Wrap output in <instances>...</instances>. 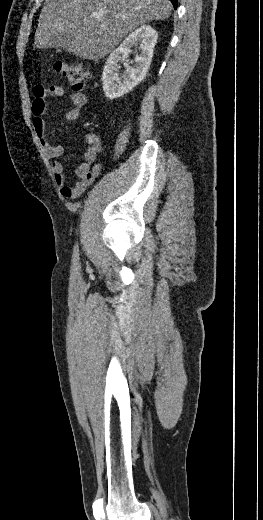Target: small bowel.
Listing matches in <instances>:
<instances>
[{"label": "small bowel", "mask_w": 263, "mask_h": 520, "mask_svg": "<svg viewBox=\"0 0 263 520\" xmlns=\"http://www.w3.org/2000/svg\"><path fill=\"white\" fill-rule=\"evenodd\" d=\"M64 95L65 90L60 85H53L49 88L42 85H35L33 88V101L31 106L33 115L32 123L45 155L52 160L51 168L61 194L66 198L73 199L82 195L100 173L101 165L97 162V158L101 153V144L95 134H88V148L84 154V161L75 169L77 180L68 182L63 165L58 160V157L63 154V147L60 144L51 143L48 140L45 134V121L43 118L47 99L62 97ZM69 100L71 108L65 113L64 118L67 121H75L78 119L81 109L87 103V97L83 93L75 92L69 95Z\"/></svg>", "instance_id": "1"}]
</instances>
